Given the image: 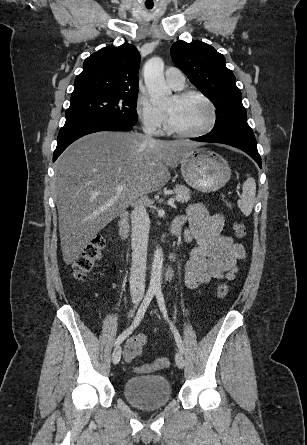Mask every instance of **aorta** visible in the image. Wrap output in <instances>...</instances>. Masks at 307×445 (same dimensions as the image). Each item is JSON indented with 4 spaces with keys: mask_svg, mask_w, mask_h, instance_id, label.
I'll return each mask as SVG.
<instances>
[{
    "mask_svg": "<svg viewBox=\"0 0 307 445\" xmlns=\"http://www.w3.org/2000/svg\"><path fill=\"white\" fill-rule=\"evenodd\" d=\"M164 62L160 56H152L144 64V80L152 104L168 106L172 104V90L167 86L164 76ZM164 253L162 249L154 251L151 277L148 291H161Z\"/></svg>",
    "mask_w": 307,
    "mask_h": 445,
    "instance_id": "1",
    "label": "aorta"
}]
</instances>
